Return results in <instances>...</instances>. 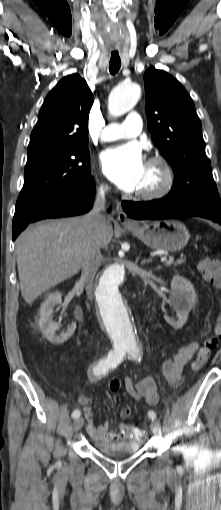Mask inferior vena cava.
I'll return each instance as SVG.
<instances>
[{
  "mask_svg": "<svg viewBox=\"0 0 221 510\" xmlns=\"http://www.w3.org/2000/svg\"><path fill=\"white\" fill-rule=\"evenodd\" d=\"M107 188L101 186L97 193L92 210L85 215L86 236L81 249L82 278L86 282V291L91 297L93 281L102 261L99 237L107 228L106 217L101 213L104 209Z\"/></svg>",
  "mask_w": 221,
  "mask_h": 510,
  "instance_id": "1",
  "label": "inferior vena cava"
}]
</instances>
